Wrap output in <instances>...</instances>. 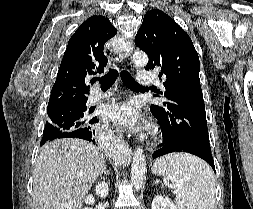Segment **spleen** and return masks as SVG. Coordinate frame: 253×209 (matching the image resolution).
Listing matches in <instances>:
<instances>
[{"mask_svg":"<svg viewBox=\"0 0 253 209\" xmlns=\"http://www.w3.org/2000/svg\"><path fill=\"white\" fill-rule=\"evenodd\" d=\"M151 171L173 180L179 190L175 198L178 209H214V174L200 158L184 153L168 154L157 159Z\"/></svg>","mask_w":253,"mask_h":209,"instance_id":"1","label":"spleen"}]
</instances>
